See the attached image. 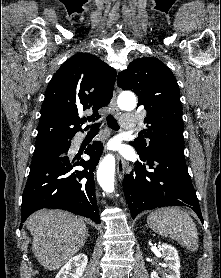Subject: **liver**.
Masks as SVG:
<instances>
[{
  "mask_svg": "<svg viewBox=\"0 0 221 278\" xmlns=\"http://www.w3.org/2000/svg\"><path fill=\"white\" fill-rule=\"evenodd\" d=\"M33 236L32 251L50 271L70 260L85 244L88 229L84 221L62 210H40L27 220Z\"/></svg>",
  "mask_w": 221,
  "mask_h": 278,
  "instance_id": "obj_1",
  "label": "liver"
}]
</instances>
